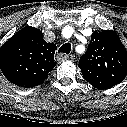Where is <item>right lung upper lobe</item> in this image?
Listing matches in <instances>:
<instances>
[{
	"label": "right lung upper lobe",
	"mask_w": 127,
	"mask_h": 127,
	"mask_svg": "<svg viewBox=\"0 0 127 127\" xmlns=\"http://www.w3.org/2000/svg\"><path fill=\"white\" fill-rule=\"evenodd\" d=\"M54 43L42 31L26 26L0 48V69L11 83L25 88L42 83L56 66Z\"/></svg>",
	"instance_id": "cb5924a9"
}]
</instances>
